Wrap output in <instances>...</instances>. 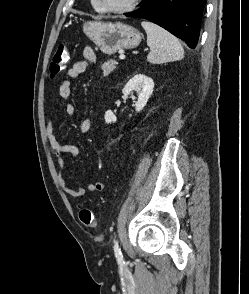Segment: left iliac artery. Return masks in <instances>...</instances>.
<instances>
[{"mask_svg":"<svg viewBox=\"0 0 249 294\" xmlns=\"http://www.w3.org/2000/svg\"><path fill=\"white\" fill-rule=\"evenodd\" d=\"M114 253H115V257L118 261L119 264H122L124 263V260H123V255L121 253V250H120V246H119V242L118 240H116L114 242Z\"/></svg>","mask_w":249,"mask_h":294,"instance_id":"obj_1","label":"left iliac artery"}]
</instances>
